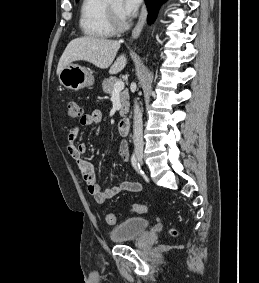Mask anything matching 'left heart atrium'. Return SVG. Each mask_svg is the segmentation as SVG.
I'll list each match as a JSON object with an SVG mask.
<instances>
[{
  "label": "left heart atrium",
  "instance_id": "obj_1",
  "mask_svg": "<svg viewBox=\"0 0 259 283\" xmlns=\"http://www.w3.org/2000/svg\"><path fill=\"white\" fill-rule=\"evenodd\" d=\"M142 0H123L122 6H121V13L123 16H130L132 15L139 5L141 4Z\"/></svg>",
  "mask_w": 259,
  "mask_h": 283
}]
</instances>
